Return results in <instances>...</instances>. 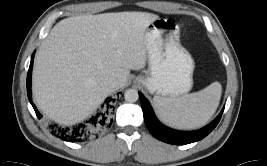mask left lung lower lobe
<instances>
[{
	"label": "left lung lower lobe",
	"mask_w": 267,
	"mask_h": 166,
	"mask_svg": "<svg viewBox=\"0 0 267 166\" xmlns=\"http://www.w3.org/2000/svg\"><path fill=\"white\" fill-rule=\"evenodd\" d=\"M139 98L142 105L144 121L149 131L157 139L170 144L186 145L203 139L217 126L223 113L222 110L213 122L200 130L190 132L178 131L164 126L157 120L150 103L140 92Z\"/></svg>",
	"instance_id": "left-lung-lower-lobe-1"
}]
</instances>
